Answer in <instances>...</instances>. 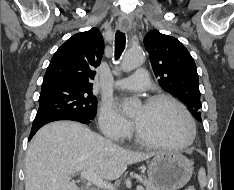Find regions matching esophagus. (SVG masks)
Returning a JSON list of instances; mask_svg holds the SVG:
<instances>
[{
    "label": "esophagus",
    "mask_w": 234,
    "mask_h": 190,
    "mask_svg": "<svg viewBox=\"0 0 234 190\" xmlns=\"http://www.w3.org/2000/svg\"><path fill=\"white\" fill-rule=\"evenodd\" d=\"M120 28H122L123 30H128L130 28V23L127 20V18H123V20L120 22L119 24Z\"/></svg>",
    "instance_id": "esophagus-1"
}]
</instances>
